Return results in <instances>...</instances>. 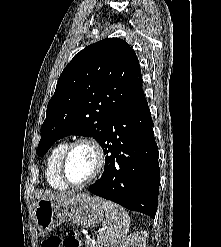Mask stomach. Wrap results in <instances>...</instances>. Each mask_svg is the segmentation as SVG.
Instances as JSON below:
<instances>
[{"label": "stomach", "mask_w": 221, "mask_h": 247, "mask_svg": "<svg viewBox=\"0 0 221 247\" xmlns=\"http://www.w3.org/2000/svg\"><path fill=\"white\" fill-rule=\"evenodd\" d=\"M105 202L87 193L60 200L41 199L35 207L36 225L42 233L52 231L65 221L86 228L95 227L104 217Z\"/></svg>", "instance_id": "1"}]
</instances>
